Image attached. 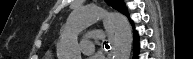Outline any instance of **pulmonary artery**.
<instances>
[{"instance_id":"pulmonary-artery-1","label":"pulmonary artery","mask_w":193,"mask_h":59,"mask_svg":"<svg viewBox=\"0 0 193 59\" xmlns=\"http://www.w3.org/2000/svg\"><path fill=\"white\" fill-rule=\"evenodd\" d=\"M81 48L85 54H91L95 50V45L92 41L88 40L87 38L81 41Z\"/></svg>"}]
</instances>
